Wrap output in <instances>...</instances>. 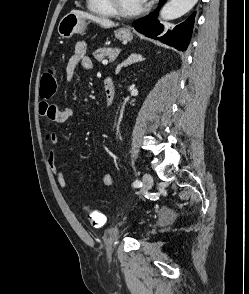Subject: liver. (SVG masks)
Instances as JSON below:
<instances>
[{
	"mask_svg": "<svg viewBox=\"0 0 249 294\" xmlns=\"http://www.w3.org/2000/svg\"><path fill=\"white\" fill-rule=\"evenodd\" d=\"M73 12L76 13L77 15L85 18V19H89L91 21H94L95 23L99 24L103 28H111V27L117 26V24H115L113 21H111L107 18L97 17V16L91 15L89 13H86L83 11H78V10H73Z\"/></svg>",
	"mask_w": 249,
	"mask_h": 294,
	"instance_id": "1",
	"label": "liver"
}]
</instances>
